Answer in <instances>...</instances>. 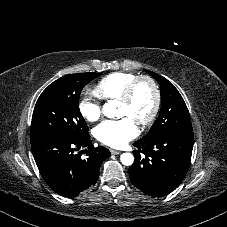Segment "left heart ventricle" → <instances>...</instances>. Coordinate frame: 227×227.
Returning a JSON list of instances; mask_svg holds the SVG:
<instances>
[{
  "label": "left heart ventricle",
  "mask_w": 227,
  "mask_h": 227,
  "mask_svg": "<svg viewBox=\"0 0 227 227\" xmlns=\"http://www.w3.org/2000/svg\"><path fill=\"white\" fill-rule=\"evenodd\" d=\"M153 101L154 95L151 86L146 82H142L137 87V90L131 103L118 104L119 116L128 117L134 122L139 123L151 111Z\"/></svg>",
  "instance_id": "obj_1"
}]
</instances>
